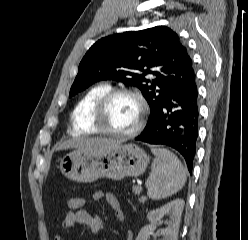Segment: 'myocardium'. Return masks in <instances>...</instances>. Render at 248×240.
Listing matches in <instances>:
<instances>
[{"label":"myocardium","mask_w":248,"mask_h":240,"mask_svg":"<svg viewBox=\"0 0 248 240\" xmlns=\"http://www.w3.org/2000/svg\"><path fill=\"white\" fill-rule=\"evenodd\" d=\"M119 95H129L134 97L137 100L140 107V114L138 121L134 126V128L128 132H116L107 129L103 126V117L107 107L109 106L110 102L116 96ZM147 115H148V105L140 91L127 87L112 88L107 92H105L95 104L91 116V122L96 132L103 134L105 136L114 137V138H132L138 135L143 129Z\"/></svg>","instance_id":"1"}]
</instances>
